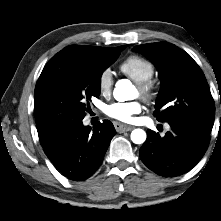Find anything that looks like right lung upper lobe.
Returning a JSON list of instances; mask_svg holds the SVG:
<instances>
[{
	"mask_svg": "<svg viewBox=\"0 0 221 221\" xmlns=\"http://www.w3.org/2000/svg\"><path fill=\"white\" fill-rule=\"evenodd\" d=\"M121 51V46L115 48H104L95 46L71 45L58 52L51 58V60L59 57L109 56Z\"/></svg>",
	"mask_w": 221,
	"mask_h": 221,
	"instance_id": "right-lung-upper-lobe-1",
	"label": "right lung upper lobe"
}]
</instances>
